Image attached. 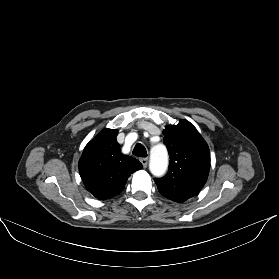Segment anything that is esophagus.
<instances>
[{"mask_svg":"<svg viewBox=\"0 0 279 279\" xmlns=\"http://www.w3.org/2000/svg\"><path fill=\"white\" fill-rule=\"evenodd\" d=\"M140 161H141L143 167L146 168L148 165V158H141Z\"/></svg>","mask_w":279,"mask_h":279,"instance_id":"esophagus-1","label":"esophagus"}]
</instances>
